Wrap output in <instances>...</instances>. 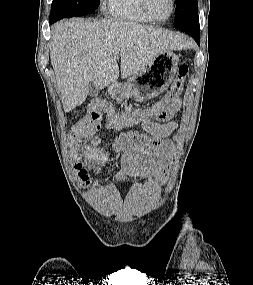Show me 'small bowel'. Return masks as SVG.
<instances>
[{
	"label": "small bowel",
	"mask_w": 253,
	"mask_h": 285,
	"mask_svg": "<svg viewBox=\"0 0 253 285\" xmlns=\"http://www.w3.org/2000/svg\"><path fill=\"white\" fill-rule=\"evenodd\" d=\"M181 107V100L175 98L162 108L159 117L146 118L139 124L143 131L121 132L115 139L113 148L121 156L122 172L120 181L128 179H154L155 165L161 155V150L169 147L165 140L177 127V121L172 120ZM164 122V123H162ZM122 129V127H115Z\"/></svg>",
	"instance_id": "small-bowel-1"
}]
</instances>
